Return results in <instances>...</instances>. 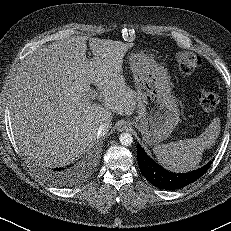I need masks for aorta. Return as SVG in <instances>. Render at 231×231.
<instances>
[{
	"label": "aorta",
	"instance_id": "aorta-1",
	"mask_svg": "<svg viewBox=\"0 0 231 231\" xmlns=\"http://www.w3.org/2000/svg\"><path fill=\"white\" fill-rule=\"evenodd\" d=\"M120 143L124 146H129L133 143V137L130 133H122L119 137Z\"/></svg>",
	"mask_w": 231,
	"mask_h": 231
}]
</instances>
